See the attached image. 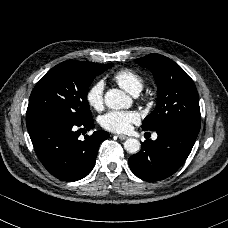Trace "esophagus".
Here are the masks:
<instances>
[{
    "label": "esophagus",
    "mask_w": 228,
    "mask_h": 228,
    "mask_svg": "<svg viewBox=\"0 0 228 228\" xmlns=\"http://www.w3.org/2000/svg\"><path fill=\"white\" fill-rule=\"evenodd\" d=\"M118 138H119L120 140H125V139L128 138V136L120 134V135H118Z\"/></svg>",
    "instance_id": "34e87169"
}]
</instances>
